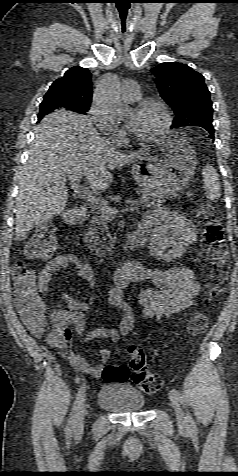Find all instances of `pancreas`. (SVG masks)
Segmentation results:
<instances>
[{
    "mask_svg": "<svg viewBox=\"0 0 238 476\" xmlns=\"http://www.w3.org/2000/svg\"><path fill=\"white\" fill-rule=\"evenodd\" d=\"M135 204L146 207L147 210L161 211L162 202L149 196H142ZM108 221L103 218L99 210L95 211L87 232L84 235V243L91 252H95L97 256H103L111 253L114 240L109 238L107 241L106 230ZM107 242V244H105ZM101 244H104L101 246ZM104 249V250H103Z\"/></svg>",
    "mask_w": 238,
    "mask_h": 476,
    "instance_id": "cf45deb5",
    "label": "pancreas"
}]
</instances>
